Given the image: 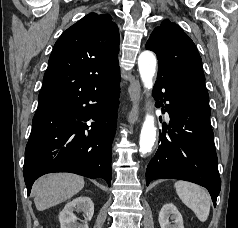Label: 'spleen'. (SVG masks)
<instances>
[{"label": "spleen", "mask_w": 238, "mask_h": 228, "mask_svg": "<svg viewBox=\"0 0 238 228\" xmlns=\"http://www.w3.org/2000/svg\"><path fill=\"white\" fill-rule=\"evenodd\" d=\"M174 186L182 202L195 213L201 222H205L211 205L209 193L199 185L187 181H177Z\"/></svg>", "instance_id": "1"}]
</instances>
